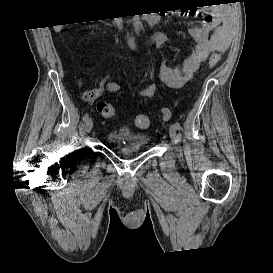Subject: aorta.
I'll use <instances>...</instances> for the list:
<instances>
[{
  "mask_svg": "<svg viewBox=\"0 0 273 273\" xmlns=\"http://www.w3.org/2000/svg\"><path fill=\"white\" fill-rule=\"evenodd\" d=\"M133 25H134V29H135L136 33L138 34L139 31H140V28L142 26L140 18H139L138 15L134 16V18H133Z\"/></svg>",
  "mask_w": 273,
  "mask_h": 273,
  "instance_id": "obj_1",
  "label": "aorta"
}]
</instances>
